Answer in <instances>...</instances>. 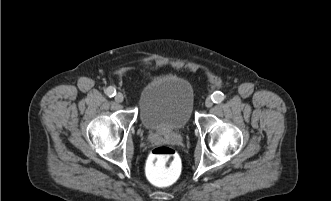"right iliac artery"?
Listing matches in <instances>:
<instances>
[{"mask_svg":"<svg viewBox=\"0 0 331 201\" xmlns=\"http://www.w3.org/2000/svg\"><path fill=\"white\" fill-rule=\"evenodd\" d=\"M106 95H108L109 97H113L116 94V90L113 87H108L105 90Z\"/></svg>","mask_w":331,"mask_h":201,"instance_id":"right-iliac-artery-1","label":"right iliac artery"}]
</instances>
